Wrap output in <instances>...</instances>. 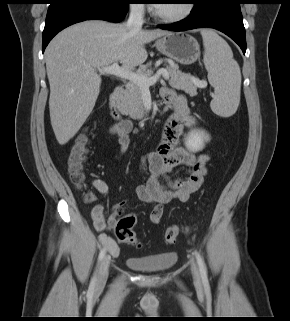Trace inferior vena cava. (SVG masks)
<instances>
[{
  "label": "inferior vena cava",
  "instance_id": "obj_1",
  "mask_svg": "<svg viewBox=\"0 0 290 321\" xmlns=\"http://www.w3.org/2000/svg\"><path fill=\"white\" fill-rule=\"evenodd\" d=\"M144 17V6L143 5H132L130 8V15L126 26L131 31H139L143 25Z\"/></svg>",
  "mask_w": 290,
  "mask_h": 321
}]
</instances>
